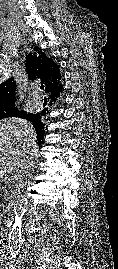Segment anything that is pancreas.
Segmentation results:
<instances>
[{
  "label": "pancreas",
  "mask_w": 118,
  "mask_h": 269,
  "mask_svg": "<svg viewBox=\"0 0 118 269\" xmlns=\"http://www.w3.org/2000/svg\"><path fill=\"white\" fill-rule=\"evenodd\" d=\"M1 185V183H0ZM9 184L8 182L6 181L5 182V186H4V191H5V197H6V201H7V204L5 205V208L8 209L9 206H10V201H9V198H8V192H9Z\"/></svg>",
  "instance_id": "obj_1"
}]
</instances>
